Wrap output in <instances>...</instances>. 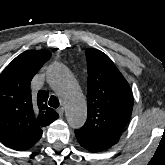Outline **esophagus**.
<instances>
[{
  "mask_svg": "<svg viewBox=\"0 0 165 165\" xmlns=\"http://www.w3.org/2000/svg\"><path fill=\"white\" fill-rule=\"evenodd\" d=\"M57 112H58V114L60 115V117L63 116V114H64V108H63V107L58 108V109H57Z\"/></svg>",
  "mask_w": 165,
  "mask_h": 165,
  "instance_id": "34e87169",
  "label": "esophagus"
}]
</instances>
